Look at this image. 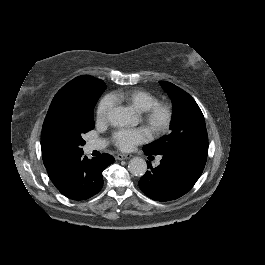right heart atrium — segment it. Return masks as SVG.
I'll list each match as a JSON object with an SVG mask.
<instances>
[{"mask_svg":"<svg viewBox=\"0 0 265 265\" xmlns=\"http://www.w3.org/2000/svg\"><path fill=\"white\" fill-rule=\"evenodd\" d=\"M115 102L110 96H104L98 103L96 108V120L99 123H106L113 110L115 109Z\"/></svg>","mask_w":265,"mask_h":265,"instance_id":"1","label":"right heart atrium"}]
</instances>
